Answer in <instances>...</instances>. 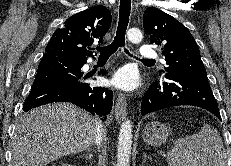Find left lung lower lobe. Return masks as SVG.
<instances>
[{
  "label": "left lung lower lobe",
  "instance_id": "0a47b994",
  "mask_svg": "<svg viewBox=\"0 0 231 166\" xmlns=\"http://www.w3.org/2000/svg\"><path fill=\"white\" fill-rule=\"evenodd\" d=\"M193 105L204 108L221 120L207 75L166 72L146 92L139 113L145 115L164 108Z\"/></svg>",
  "mask_w": 231,
  "mask_h": 166
}]
</instances>
